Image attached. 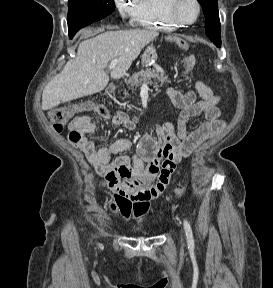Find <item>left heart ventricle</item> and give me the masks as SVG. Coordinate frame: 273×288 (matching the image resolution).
Segmentation results:
<instances>
[{
  "label": "left heart ventricle",
  "mask_w": 273,
  "mask_h": 288,
  "mask_svg": "<svg viewBox=\"0 0 273 288\" xmlns=\"http://www.w3.org/2000/svg\"><path fill=\"white\" fill-rule=\"evenodd\" d=\"M177 12L182 19L191 21L196 16V6L192 0H180Z\"/></svg>",
  "instance_id": "left-heart-ventricle-1"
}]
</instances>
